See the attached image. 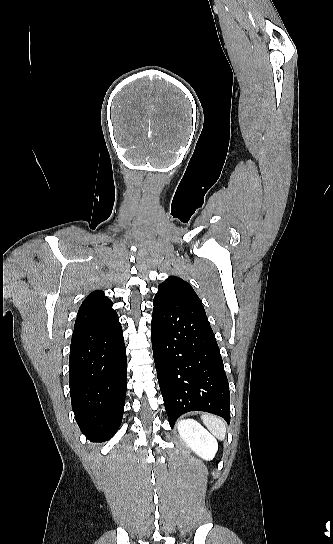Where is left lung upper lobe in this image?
<instances>
[{
    "label": "left lung upper lobe",
    "mask_w": 333,
    "mask_h": 544,
    "mask_svg": "<svg viewBox=\"0 0 333 544\" xmlns=\"http://www.w3.org/2000/svg\"><path fill=\"white\" fill-rule=\"evenodd\" d=\"M167 299H176L202 305L201 300L192 286L183 279L170 276L158 286L154 301L164 302Z\"/></svg>",
    "instance_id": "5c2ea615"
}]
</instances>
